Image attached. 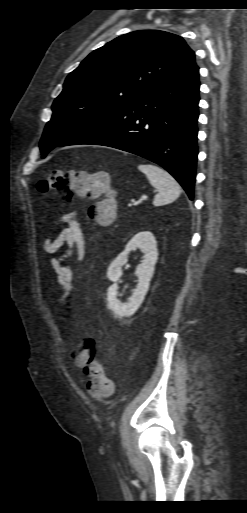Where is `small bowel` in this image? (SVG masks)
<instances>
[{
	"instance_id": "obj_1",
	"label": "small bowel",
	"mask_w": 247,
	"mask_h": 513,
	"mask_svg": "<svg viewBox=\"0 0 247 513\" xmlns=\"http://www.w3.org/2000/svg\"><path fill=\"white\" fill-rule=\"evenodd\" d=\"M59 225H65L54 236L48 237L43 244L45 252L53 255L51 260L59 288L62 292H69L72 287L73 273L66 259L75 256L77 262L85 257V238L80 222L70 213L58 220ZM67 296L62 302L65 304ZM91 342V341H90ZM94 345L93 342H91ZM76 362V361H74Z\"/></svg>"
}]
</instances>
